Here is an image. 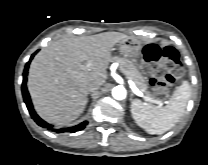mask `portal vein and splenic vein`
<instances>
[{"instance_id":"18ae733b","label":"portal vein and splenic vein","mask_w":208,"mask_h":165,"mask_svg":"<svg viewBox=\"0 0 208 165\" xmlns=\"http://www.w3.org/2000/svg\"><path fill=\"white\" fill-rule=\"evenodd\" d=\"M128 83L130 85V88L132 89V91L139 97H143L146 101L150 102V103H156L159 105H162V103L160 101H158L157 99H152L148 96H145L143 92H141L136 86L135 83L130 79L128 80Z\"/></svg>"}]
</instances>
